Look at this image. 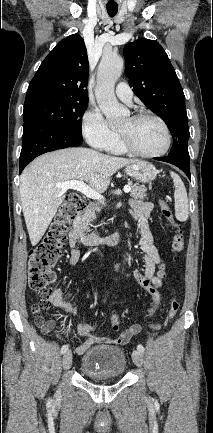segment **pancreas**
I'll list each match as a JSON object with an SVG mask.
<instances>
[{"label": "pancreas", "mask_w": 213, "mask_h": 433, "mask_svg": "<svg viewBox=\"0 0 213 433\" xmlns=\"http://www.w3.org/2000/svg\"><path fill=\"white\" fill-rule=\"evenodd\" d=\"M129 185L132 188L131 193H130L131 197L136 198V199L147 198L145 186L139 185V184L132 185L131 183ZM95 210H99V208L88 207L85 210V212L83 213V215L81 216L83 226L87 231H90L88 226L91 225V222L96 218Z\"/></svg>", "instance_id": "cf45deb5"}]
</instances>
